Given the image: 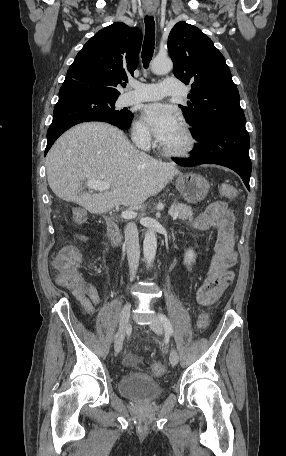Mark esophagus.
Returning a JSON list of instances; mask_svg holds the SVG:
<instances>
[{
	"label": "esophagus",
	"instance_id": "1",
	"mask_svg": "<svg viewBox=\"0 0 286 456\" xmlns=\"http://www.w3.org/2000/svg\"><path fill=\"white\" fill-rule=\"evenodd\" d=\"M153 14H154L153 12H148V15H150V16L153 15Z\"/></svg>",
	"mask_w": 286,
	"mask_h": 456
}]
</instances>
